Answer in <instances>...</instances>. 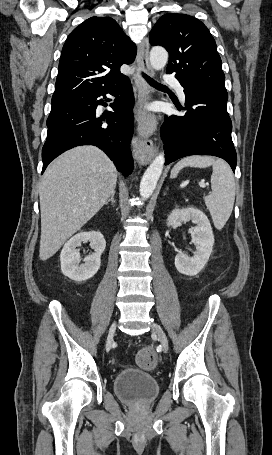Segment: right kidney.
Wrapping results in <instances>:
<instances>
[{"instance_id":"ca27d5eb","label":"right kidney","mask_w":272,"mask_h":455,"mask_svg":"<svg viewBox=\"0 0 272 455\" xmlns=\"http://www.w3.org/2000/svg\"><path fill=\"white\" fill-rule=\"evenodd\" d=\"M90 241L94 253L83 259L77 247L82 242ZM106 247L104 236L99 231L80 232L73 236L63 247L60 254L62 273L74 281H85L93 277L99 270L101 264V255Z\"/></svg>"}]
</instances>
